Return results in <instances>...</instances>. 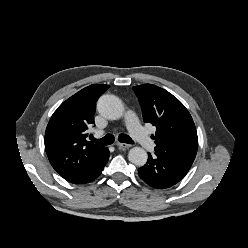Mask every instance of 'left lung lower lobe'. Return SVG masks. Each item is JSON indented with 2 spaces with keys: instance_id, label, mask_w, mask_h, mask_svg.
Masks as SVG:
<instances>
[{
  "instance_id": "0a47b994",
  "label": "left lung lower lobe",
  "mask_w": 248,
  "mask_h": 248,
  "mask_svg": "<svg viewBox=\"0 0 248 248\" xmlns=\"http://www.w3.org/2000/svg\"><path fill=\"white\" fill-rule=\"evenodd\" d=\"M191 165L164 156L148 154L147 163L138 169L140 178L153 188L166 189L178 183Z\"/></svg>"
}]
</instances>
